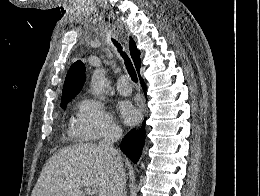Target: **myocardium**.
<instances>
[{"label":"myocardium","instance_id":"1","mask_svg":"<svg viewBox=\"0 0 260 196\" xmlns=\"http://www.w3.org/2000/svg\"><path fill=\"white\" fill-rule=\"evenodd\" d=\"M51 192H55V190H51Z\"/></svg>","mask_w":260,"mask_h":196}]
</instances>
